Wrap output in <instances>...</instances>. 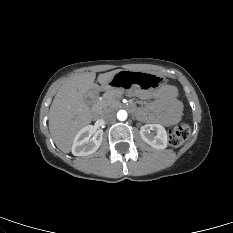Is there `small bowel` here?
Listing matches in <instances>:
<instances>
[{
    "label": "small bowel",
    "mask_w": 233,
    "mask_h": 233,
    "mask_svg": "<svg viewBox=\"0 0 233 233\" xmlns=\"http://www.w3.org/2000/svg\"><path fill=\"white\" fill-rule=\"evenodd\" d=\"M152 96L155 98L149 106L152 112L147 114L146 109H140L138 111L140 118L161 124H172L180 119L182 104L174 87L166 86L154 92ZM140 97L145 100L149 98V94L142 92Z\"/></svg>",
    "instance_id": "small-bowel-1"
}]
</instances>
